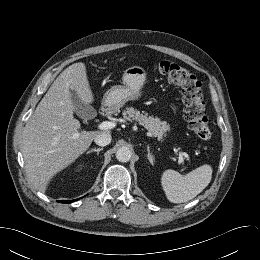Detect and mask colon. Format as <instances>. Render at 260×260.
Segmentation results:
<instances>
[{
	"mask_svg": "<svg viewBox=\"0 0 260 260\" xmlns=\"http://www.w3.org/2000/svg\"><path fill=\"white\" fill-rule=\"evenodd\" d=\"M157 71L182 91L185 119L192 132L202 140H209L211 130L203 97L202 83L185 67L170 61L157 64Z\"/></svg>",
	"mask_w": 260,
	"mask_h": 260,
	"instance_id": "colon-1",
	"label": "colon"
}]
</instances>
